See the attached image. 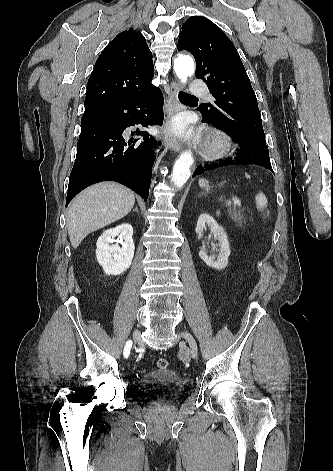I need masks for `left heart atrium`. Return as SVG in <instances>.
I'll return each instance as SVG.
<instances>
[{
  "label": "left heart atrium",
  "instance_id": "39dd6f15",
  "mask_svg": "<svg viewBox=\"0 0 333 471\" xmlns=\"http://www.w3.org/2000/svg\"><path fill=\"white\" fill-rule=\"evenodd\" d=\"M173 130L178 134L185 135L187 133L185 121L181 118L175 120L173 123Z\"/></svg>",
  "mask_w": 333,
  "mask_h": 471
}]
</instances>
